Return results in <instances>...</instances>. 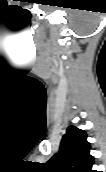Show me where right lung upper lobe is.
<instances>
[{
	"label": "right lung upper lobe",
	"instance_id": "cb5924a9",
	"mask_svg": "<svg viewBox=\"0 0 106 172\" xmlns=\"http://www.w3.org/2000/svg\"><path fill=\"white\" fill-rule=\"evenodd\" d=\"M90 148L86 132L69 126L62 137L59 154L50 159L47 169L51 172H93Z\"/></svg>",
	"mask_w": 106,
	"mask_h": 172
}]
</instances>
